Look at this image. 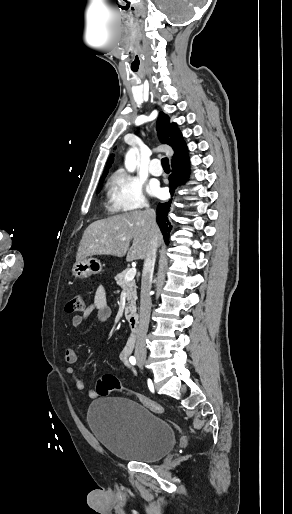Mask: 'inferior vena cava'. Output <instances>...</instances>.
Listing matches in <instances>:
<instances>
[{"label": "inferior vena cava", "mask_w": 292, "mask_h": 514, "mask_svg": "<svg viewBox=\"0 0 292 514\" xmlns=\"http://www.w3.org/2000/svg\"><path fill=\"white\" fill-rule=\"evenodd\" d=\"M147 214L150 218L149 228H155L156 226V214L154 210H147ZM157 238L153 236L149 242V248L147 250L146 258L144 260L143 274L141 280V296H140V322L137 332V342L135 348V354H145L146 352V334L148 332L150 312H151V298L150 290L154 272V264L156 260L157 252Z\"/></svg>", "instance_id": "602c4592"}]
</instances>
